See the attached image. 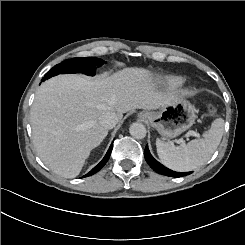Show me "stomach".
I'll use <instances>...</instances> for the list:
<instances>
[{"mask_svg": "<svg viewBox=\"0 0 245 245\" xmlns=\"http://www.w3.org/2000/svg\"><path fill=\"white\" fill-rule=\"evenodd\" d=\"M141 112L140 118L145 120ZM152 119L148 122L163 137H176L189 129L196 119V109L188 100L175 96L167 105L156 112H151Z\"/></svg>", "mask_w": 245, "mask_h": 245, "instance_id": "1", "label": "stomach"}]
</instances>
